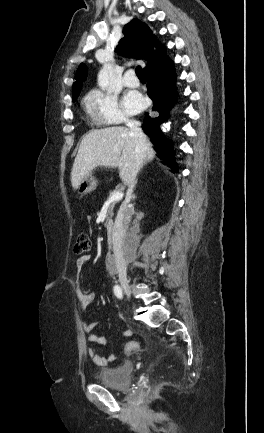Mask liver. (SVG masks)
Listing matches in <instances>:
<instances>
[{
  "label": "liver",
  "instance_id": "6515ba94",
  "mask_svg": "<svg viewBox=\"0 0 264 433\" xmlns=\"http://www.w3.org/2000/svg\"><path fill=\"white\" fill-rule=\"evenodd\" d=\"M135 140L126 127L95 129L87 133L79 146L71 172L72 187L76 190L81 180L98 166L118 167L119 176L128 184L136 170ZM155 157L152 144L146 139L145 161Z\"/></svg>",
  "mask_w": 264,
  "mask_h": 433
}]
</instances>
